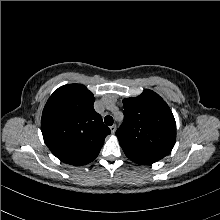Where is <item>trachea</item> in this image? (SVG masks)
Returning <instances> with one entry per match:
<instances>
[{
    "label": "trachea",
    "instance_id": "obj_1",
    "mask_svg": "<svg viewBox=\"0 0 220 220\" xmlns=\"http://www.w3.org/2000/svg\"><path fill=\"white\" fill-rule=\"evenodd\" d=\"M113 118H112V116H109V115H107L105 118H104V122H105V124L106 125H108V126H111L112 124H113Z\"/></svg>",
    "mask_w": 220,
    "mask_h": 220
}]
</instances>
